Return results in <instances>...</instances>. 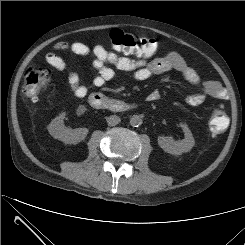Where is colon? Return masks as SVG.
<instances>
[{
	"instance_id": "colon-1",
	"label": "colon",
	"mask_w": 245,
	"mask_h": 245,
	"mask_svg": "<svg viewBox=\"0 0 245 245\" xmlns=\"http://www.w3.org/2000/svg\"><path fill=\"white\" fill-rule=\"evenodd\" d=\"M111 45L118 51L134 54L143 59L153 58L158 51L157 42L148 37L135 36L115 29L109 34ZM51 80V72L47 68L30 66L24 73V94L30 100H36L38 94ZM228 126V117L222 107L215 108L210 115L209 128L212 135L217 136Z\"/></svg>"
}]
</instances>
